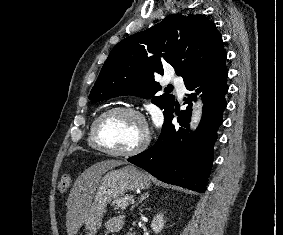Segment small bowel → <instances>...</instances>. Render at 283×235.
<instances>
[{"label":"small bowel","mask_w":283,"mask_h":235,"mask_svg":"<svg viewBox=\"0 0 283 235\" xmlns=\"http://www.w3.org/2000/svg\"><path fill=\"white\" fill-rule=\"evenodd\" d=\"M123 223V218L120 216L111 218L107 222V229L111 233H118L122 229Z\"/></svg>","instance_id":"1"}]
</instances>
